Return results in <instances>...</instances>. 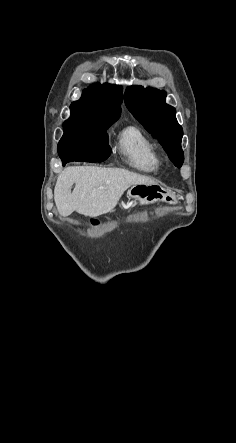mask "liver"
<instances>
[{"label": "liver", "instance_id": "liver-1", "mask_svg": "<svg viewBox=\"0 0 236 443\" xmlns=\"http://www.w3.org/2000/svg\"><path fill=\"white\" fill-rule=\"evenodd\" d=\"M138 184L155 185L156 182L120 168L68 167L57 178L54 201L61 216H69L74 211L84 216H99L112 211L124 192Z\"/></svg>", "mask_w": 236, "mask_h": 443}]
</instances>
